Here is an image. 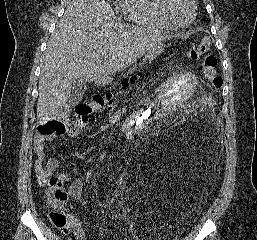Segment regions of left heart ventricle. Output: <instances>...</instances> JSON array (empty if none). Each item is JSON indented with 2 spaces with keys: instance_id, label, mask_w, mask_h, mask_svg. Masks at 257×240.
Returning <instances> with one entry per match:
<instances>
[{
  "instance_id": "1",
  "label": "left heart ventricle",
  "mask_w": 257,
  "mask_h": 240,
  "mask_svg": "<svg viewBox=\"0 0 257 240\" xmlns=\"http://www.w3.org/2000/svg\"><path fill=\"white\" fill-rule=\"evenodd\" d=\"M165 10L169 18L178 24L187 22L192 15L190 0H166Z\"/></svg>"
}]
</instances>
